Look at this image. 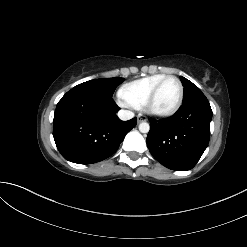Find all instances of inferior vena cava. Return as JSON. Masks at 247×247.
Listing matches in <instances>:
<instances>
[{
	"label": "inferior vena cava",
	"mask_w": 247,
	"mask_h": 247,
	"mask_svg": "<svg viewBox=\"0 0 247 247\" xmlns=\"http://www.w3.org/2000/svg\"><path fill=\"white\" fill-rule=\"evenodd\" d=\"M118 117L121 120L126 121L132 119L134 117V113L129 110H120L118 112Z\"/></svg>",
	"instance_id": "obj_1"
}]
</instances>
